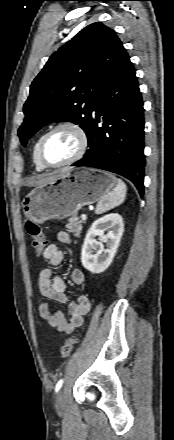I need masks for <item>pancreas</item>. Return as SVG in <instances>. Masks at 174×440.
<instances>
[{"label": "pancreas", "mask_w": 174, "mask_h": 440, "mask_svg": "<svg viewBox=\"0 0 174 440\" xmlns=\"http://www.w3.org/2000/svg\"><path fill=\"white\" fill-rule=\"evenodd\" d=\"M83 221L80 220L77 215H73L71 218L68 219V223L66 225V228L70 233H73L75 237H79L82 230Z\"/></svg>", "instance_id": "pancreas-1"}]
</instances>
